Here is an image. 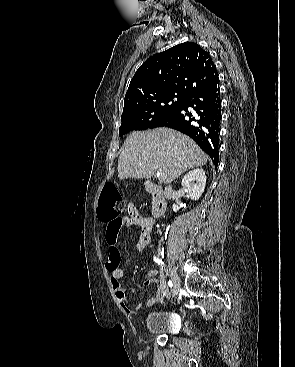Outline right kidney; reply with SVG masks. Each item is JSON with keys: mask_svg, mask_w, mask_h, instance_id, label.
<instances>
[{"mask_svg": "<svg viewBox=\"0 0 295 367\" xmlns=\"http://www.w3.org/2000/svg\"><path fill=\"white\" fill-rule=\"evenodd\" d=\"M181 185L192 200H198L204 192L206 175L203 169H194L188 172L182 179ZM181 206L173 205V211L177 212Z\"/></svg>", "mask_w": 295, "mask_h": 367, "instance_id": "obj_1", "label": "right kidney"}]
</instances>
